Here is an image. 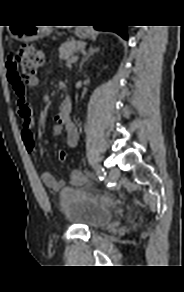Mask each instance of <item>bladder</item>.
<instances>
[{
	"label": "bladder",
	"mask_w": 184,
	"mask_h": 292,
	"mask_svg": "<svg viewBox=\"0 0 184 292\" xmlns=\"http://www.w3.org/2000/svg\"><path fill=\"white\" fill-rule=\"evenodd\" d=\"M59 207L68 221L94 230L111 221L115 203L86 189L67 188L61 193Z\"/></svg>",
	"instance_id": "31cf9c89"
}]
</instances>
